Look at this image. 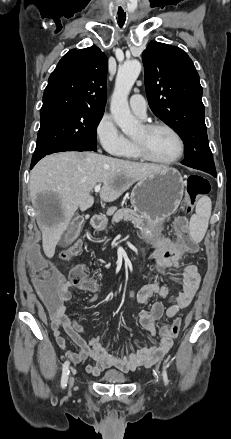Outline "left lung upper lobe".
<instances>
[{"label":"left lung upper lobe","mask_w":231,"mask_h":439,"mask_svg":"<svg viewBox=\"0 0 231 439\" xmlns=\"http://www.w3.org/2000/svg\"><path fill=\"white\" fill-rule=\"evenodd\" d=\"M142 59L151 110L184 141L181 163L216 171L204 121L203 90L192 60L180 48L156 41L149 43Z\"/></svg>","instance_id":"1"}]
</instances>
